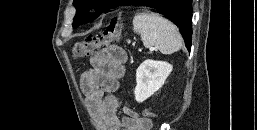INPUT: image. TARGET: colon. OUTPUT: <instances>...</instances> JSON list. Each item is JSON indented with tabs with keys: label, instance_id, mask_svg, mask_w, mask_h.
I'll list each match as a JSON object with an SVG mask.
<instances>
[{
	"label": "colon",
	"instance_id": "5ec220e1",
	"mask_svg": "<svg viewBox=\"0 0 257 130\" xmlns=\"http://www.w3.org/2000/svg\"><path fill=\"white\" fill-rule=\"evenodd\" d=\"M120 32L121 24L118 19H114L105 31L76 43L72 50V56L75 59H83L91 56L112 39L118 37ZM143 115L148 120L155 117V114L147 109L143 111Z\"/></svg>",
	"mask_w": 257,
	"mask_h": 130
}]
</instances>
